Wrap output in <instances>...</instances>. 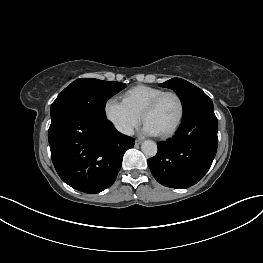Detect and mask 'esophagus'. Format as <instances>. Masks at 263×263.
<instances>
[{
  "label": "esophagus",
  "mask_w": 263,
  "mask_h": 263,
  "mask_svg": "<svg viewBox=\"0 0 263 263\" xmlns=\"http://www.w3.org/2000/svg\"><path fill=\"white\" fill-rule=\"evenodd\" d=\"M142 143V140L141 139H136L135 140V146H138Z\"/></svg>",
  "instance_id": "esophagus-1"
}]
</instances>
